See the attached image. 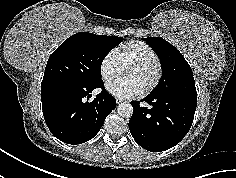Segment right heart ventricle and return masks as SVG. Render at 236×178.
Instances as JSON below:
<instances>
[{
  "label": "right heart ventricle",
  "instance_id": "obj_1",
  "mask_svg": "<svg viewBox=\"0 0 236 178\" xmlns=\"http://www.w3.org/2000/svg\"><path fill=\"white\" fill-rule=\"evenodd\" d=\"M115 55L122 69L133 61H157L156 52L146 43L129 41L115 50Z\"/></svg>",
  "mask_w": 236,
  "mask_h": 178
}]
</instances>
